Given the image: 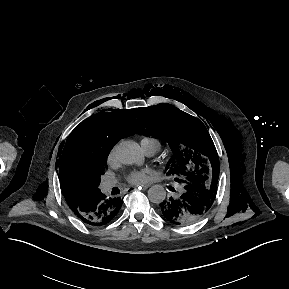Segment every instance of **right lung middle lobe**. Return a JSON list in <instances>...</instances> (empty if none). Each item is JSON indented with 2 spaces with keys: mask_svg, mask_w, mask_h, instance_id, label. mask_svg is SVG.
<instances>
[{
  "mask_svg": "<svg viewBox=\"0 0 289 289\" xmlns=\"http://www.w3.org/2000/svg\"><path fill=\"white\" fill-rule=\"evenodd\" d=\"M109 154H102L95 162L92 170L85 176L84 183L87 187L98 190L100 176L107 168V157Z\"/></svg>",
  "mask_w": 289,
  "mask_h": 289,
  "instance_id": "right-lung-middle-lobe-1",
  "label": "right lung middle lobe"
}]
</instances>
